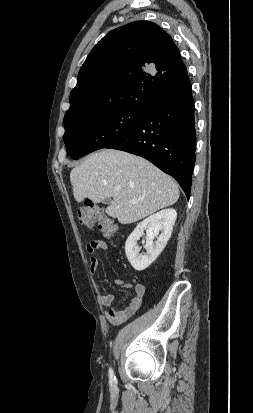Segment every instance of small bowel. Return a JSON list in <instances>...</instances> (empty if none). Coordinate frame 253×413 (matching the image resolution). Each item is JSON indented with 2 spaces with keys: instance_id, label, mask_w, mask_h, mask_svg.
I'll return each mask as SVG.
<instances>
[{
  "instance_id": "small-bowel-1",
  "label": "small bowel",
  "mask_w": 253,
  "mask_h": 413,
  "mask_svg": "<svg viewBox=\"0 0 253 413\" xmlns=\"http://www.w3.org/2000/svg\"><path fill=\"white\" fill-rule=\"evenodd\" d=\"M107 249L108 246L104 241H91L88 243L87 251L90 255H92L90 258V269L92 273H95L97 271L99 265L98 258L96 256H93L94 253L98 250L105 251ZM115 283L123 288L131 290L132 296L128 305L123 309L115 308L113 304V295L105 292H101L99 294V301L103 306L108 308V310L105 312L108 321L114 325H118L126 321L140 308L145 294V286L141 283L133 285L122 279H116Z\"/></svg>"
}]
</instances>
